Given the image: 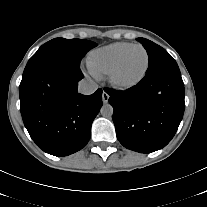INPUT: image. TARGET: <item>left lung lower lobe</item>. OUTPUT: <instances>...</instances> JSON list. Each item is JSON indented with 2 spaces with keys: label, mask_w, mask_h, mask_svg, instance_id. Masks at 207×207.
<instances>
[{
  "label": "left lung lower lobe",
  "mask_w": 207,
  "mask_h": 207,
  "mask_svg": "<svg viewBox=\"0 0 207 207\" xmlns=\"http://www.w3.org/2000/svg\"><path fill=\"white\" fill-rule=\"evenodd\" d=\"M105 92L114 109L116 136L127 149L151 153L165 147L175 135L185 109L184 83L177 64L145 75L126 91Z\"/></svg>",
  "instance_id": "0a47b994"
}]
</instances>
